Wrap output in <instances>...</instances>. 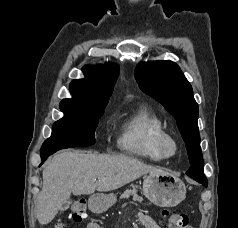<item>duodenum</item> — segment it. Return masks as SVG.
<instances>
[{"mask_svg":"<svg viewBox=\"0 0 238 228\" xmlns=\"http://www.w3.org/2000/svg\"><path fill=\"white\" fill-rule=\"evenodd\" d=\"M92 207L96 208V203L95 202L92 203Z\"/></svg>","mask_w":238,"mask_h":228,"instance_id":"obj_1","label":"duodenum"}]
</instances>
